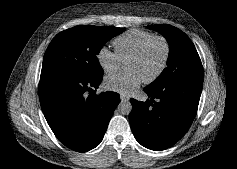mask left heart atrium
<instances>
[{"label":"left heart atrium","mask_w":237,"mask_h":169,"mask_svg":"<svg viewBox=\"0 0 237 169\" xmlns=\"http://www.w3.org/2000/svg\"><path fill=\"white\" fill-rule=\"evenodd\" d=\"M142 81V78L135 71L127 70L123 73L108 76L105 79V86L112 91L130 93L135 90Z\"/></svg>","instance_id":"left-heart-atrium-1"}]
</instances>
